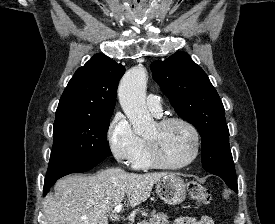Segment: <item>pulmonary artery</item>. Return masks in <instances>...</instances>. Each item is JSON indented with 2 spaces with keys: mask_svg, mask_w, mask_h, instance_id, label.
Masks as SVG:
<instances>
[{
  "mask_svg": "<svg viewBox=\"0 0 275 224\" xmlns=\"http://www.w3.org/2000/svg\"><path fill=\"white\" fill-rule=\"evenodd\" d=\"M147 107L152 113L159 116L162 111L160 97L153 93L149 94L147 97Z\"/></svg>",
  "mask_w": 275,
  "mask_h": 224,
  "instance_id": "obj_1",
  "label": "pulmonary artery"
}]
</instances>
